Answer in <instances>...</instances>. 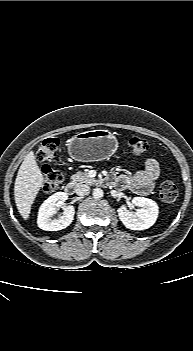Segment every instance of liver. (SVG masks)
I'll use <instances>...</instances> for the list:
<instances>
[{
	"mask_svg": "<svg viewBox=\"0 0 193 351\" xmlns=\"http://www.w3.org/2000/svg\"><path fill=\"white\" fill-rule=\"evenodd\" d=\"M44 182L41 170L33 151L22 162L14 184V199L17 209L24 220L29 218L31 206Z\"/></svg>",
	"mask_w": 193,
	"mask_h": 351,
	"instance_id": "liver-1",
	"label": "liver"
}]
</instances>
